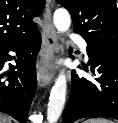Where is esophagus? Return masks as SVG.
<instances>
[{"instance_id":"34e87169","label":"esophagus","mask_w":118,"mask_h":123,"mask_svg":"<svg viewBox=\"0 0 118 123\" xmlns=\"http://www.w3.org/2000/svg\"><path fill=\"white\" fill-rule=\"evenodd\" d=\"M43 22L45 42L37 70V79L40 87H46L51 83L53 79V63L59 52L57 35L52 23L49 3L46 4Z\"/></svg>"}]
</instances>
